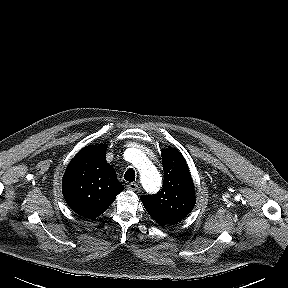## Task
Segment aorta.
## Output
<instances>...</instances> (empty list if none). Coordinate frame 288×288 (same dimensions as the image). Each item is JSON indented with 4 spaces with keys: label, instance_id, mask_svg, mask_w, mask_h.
<instances>
[{
    "label": "aorta",
    "instance_id": "762f6f07",
    "mask_svg": "<svg viewBox=\"0 0 288 288\" xmlns=\"http://www.w3.org/2000/svg\"><path fill=\"white\" fill-rule=\"evenodd\" d=\"M132 163L138 168L143 186L149 191H156L161 185V177L156 167L147 160L144 153L134 149Z\"/></svg>",
    "mask_w": 288,
    "mask_h": 288
}]
</instances>
